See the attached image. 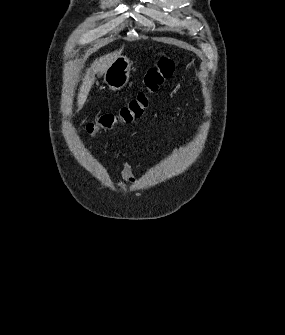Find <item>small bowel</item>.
<instances>
[{"label": "small bowel", "mask_w": 285, "mask_h": 335, "mask_svg": "<svg viewBox=\"0 0 285 335\" xmlns=\"http://www.w3.org/2000/svg\"><path fill=\"white\" fill-rule=\"evenodd\" d=\"M120 173L122 180L126 183L133 184L137 181V176L128 163H122Z\"/></svg>", "instance_id": "1"}]
</instances>
